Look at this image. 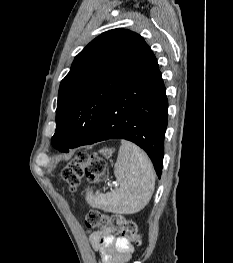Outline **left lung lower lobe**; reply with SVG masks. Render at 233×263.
Returning <instances> with one entry per match:
<instances>
[{
  "label": "left lung lower lobe",
  "mask_w": 233,
  "mask_h": 263,
  "mask_svg": "<svg viewBox=\"0 0 233 263\" xmlns=\"http://www.w3.org/2000/svg\"><path fill=\"white\" fill-rule=\"evenodd\" d=\"M167 108L168 100L161 72L157 59L149 48L83 142L74 143L53 137L52 144L60 151L68 152L69 148L102 140L126 139L148 154L160 177Z\"/></svg>",
  "instance_id": "0a47b994"
}]
</instances>
